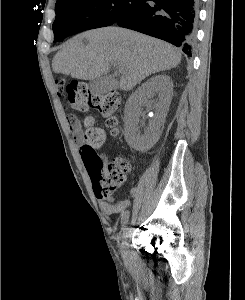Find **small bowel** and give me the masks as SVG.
<instances>
[{"label": "small bowel", "instance_id": "obj_1", "mask_svg": "<svg viewBox=\"0 0 245 300\" xmlns=\"http://www.w3.org/2000/svg\"><path fill=\"white\" fill-rule=\"evenodd\" d=\"M69 127L73 135L74 142L77 145L82 146L84 143L83 130L80 122L73 116L68 117ZM138 194V188L132 187L130 189V197L134 198ZM130 205V199H126L120 202H114L111 199L100 200L99 206L103 213L105 214H116L120 212H125L127 207Z\"/></svg>", "mask_w": 245, "mask_h": 300}]
</instances>
